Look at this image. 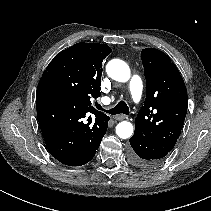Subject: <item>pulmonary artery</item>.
Wrapping results in <instances>:
<instances>
[{
	"label": "pulmonary artery",
	"instance_id": "pulmonary-artery-1",
	"mask_svg": "<svg viewBox=\"0 0 211 211\" xmlns=\"http://www.w3.org/2000/svg\"><path fill=\"white\" fill-rule=\"evenodd\" d=\"M129 89L132 95L133 100L136 103H139L142 97L143 84L138 76H132L129 80ZM103 102H109L108 98H104Z\"/></svg>",
	"mask_w": 211,
	"mask_h": 211
}]
</instances>
